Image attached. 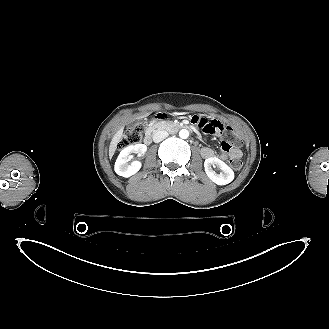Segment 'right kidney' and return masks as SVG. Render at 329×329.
<instances>
[{"mask_svg":"<svg viewBox=\"0 0 329 329\" xmlns=\"http://www.w3.org/2000/svg\"><path fill=\"white\" fill-rule=\"evenodd\" d=\"M146 150L147 147L144 144H134L125 147L120 152L115 162V166H114L115 172L123 177H130L135 173H137L141 168V162L135 160L131 163H128L130 161V154L135 153L138 156H142L145 154Z\"/></svg>","mask_w":329,"mask_h":329,"instance_id":"ca27d5eb","label":"right kidney"}]
</instances>
